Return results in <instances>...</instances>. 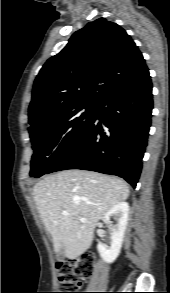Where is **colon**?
Here are the masks:
<instances>
[{"label":"colon","instance_id":"obj_1","mask_svg":"<svg viewBox=\"0 0 170 293\" xmlns=\"http://www.w3.org/2000/svg\"><path fill=\"white\" fill-rule=\"evenodd\" d=\"M94 257L90 253L83 254L79 259L59 263L57 265L59 293H81L74 292L79 289V280L87 279L92 274Z\"/></svg>","mask_w":170,"mask_h":293}]
</instances>
